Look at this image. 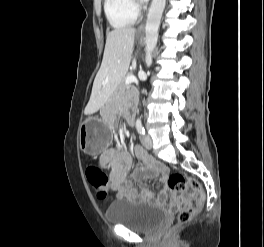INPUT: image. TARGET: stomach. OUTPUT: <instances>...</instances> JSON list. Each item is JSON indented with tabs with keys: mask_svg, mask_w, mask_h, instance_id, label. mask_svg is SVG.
<instances>
[{
	"mask_svg": "<svg viewBox=\"0 0 264 247\" xmlns=\"http://www.w3.org/2000/svg\"><path fill=\"white\" fill-rule=\"evenodd\" d=\"M111 141V126L105 117H88L79 128L80 148L89 155H97Z\"/></svg>",
	"mask_w": 264,
	"mask_h": 247,
	"instance_id": "0dacf381",
	"label": "stomach"
}]
</instances>
